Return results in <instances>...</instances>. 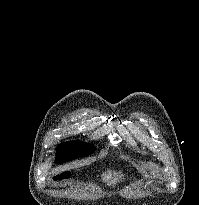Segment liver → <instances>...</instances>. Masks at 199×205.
Here are the masks:
<instances>
[{
  "mask_svg": "<svg viewBox=\"0 0 199 205\" xmlns=\"http://www.w3.org/2000/svg\"><path fill=\"white\" fill-rule=\"evenodd\" d=\"M119 178H121L120 173L112 171H108L107 174L103 175V181L107 182L108 185L116 184Z\"/></svg>",
  "mask_w": 199,
  "mask_h": 205,
  "instance_id": "liver-1",
  "label": "liver"
}]
</instances>
